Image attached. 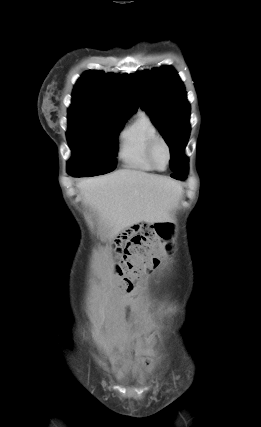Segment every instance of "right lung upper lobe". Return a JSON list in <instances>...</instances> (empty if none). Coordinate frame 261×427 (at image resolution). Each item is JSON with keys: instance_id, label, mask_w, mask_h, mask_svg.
Segmentation results:
<instances>
[{"instance_id": "1", "label": "right lung upper lobe", "mask_w": 261, "mask_h": 427, "mask_svg": "<svg viewBox=\"0 0 261 427\" xmlns=\"http://www.w3.org/2000/svg\"><path fill=\"white\" fill-rule=\"evenodd\" d=\"M138 109L129 75L87 71L76 83L68 115L91 114L127 119Z\"/></svg>"}]
</instances>
